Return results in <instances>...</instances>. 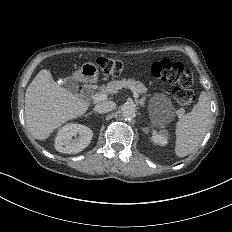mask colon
<instances>
[{
	"label": "colon",
	"mask_w": 232,
	"mask_h": 232,
	"mask_svg": "<svg viewBox=\"0 0 232 232\" xmlns=\"http://www.w3.org/2000/svg\"><path fill=\"white\" fill-rule=\"evenodd\" d=\"M117 56H99L95 60V64L100 66L104 73H110L112 75H123L129 68L130 63L126 59L117 61ZM154 72L158 76H163L166 82H175V86L179 87L178 102L179 105H191L195 102V91H198V86H193L192 82L194 74H189L187 66L183 62H159L154 67ZM178 111H192V106H178Z\"/></svg>",
	"instance_id": "obj_1"
}]
</instances>
